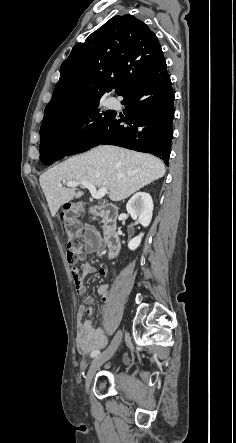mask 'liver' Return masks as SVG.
<instances>
[{
  "label": "liver",
  "instance_id": "6515ba94",
  "mask_svg": "<svg viewBox=\"0 0 236 443\" xmlns=\"http://www.w3.org/2000/svg\"><path fill=\"white\" fill-rule=\"evenodd\" d=\"M164 174V163L153 155L101 145L54 166L40 176L39 182L54 217L63 204L84 194L58 187L63 181H86L95 187H106L112 201H121Z\"/></svg>",
  "mask_w": 236,
  "mask_h": 443
}]
</instances>
